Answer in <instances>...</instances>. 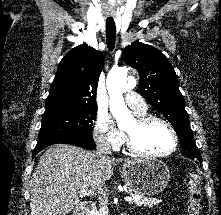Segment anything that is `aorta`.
I'll return each instance as SVG.
<instances>
[{
  "label": "aorta",
  "mask_w": 221,
  "mask_h": 215,
  "mask_svg": "<svg viewBox=\"0 0 221 215\" xmlns=\"http://www.w3.org/2000/svg\"><path fill=\"white\" fill-rule=\"evenodd\" d=\"M106 84L110 98V111L118 124L120 125L126 119H132V114L125 105L123 98V93L131 87L127 83V69L119 68L112 70L107 76ZM133 85H135V82H133Z\"/></svg>",
  "instance_id": "762f6f07"
}]
</instances>
